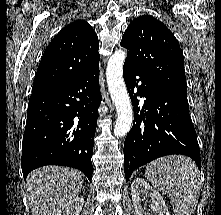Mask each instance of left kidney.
I'll return each instance as SVG.
<instances>
[{
    "mask_svg": "<svg viewBox=\"0 0 221 215\" xmlns=\"http://www.w3.org/2000/svg\"><path fill=\"white\" fill-rule=\"evenodd\" d=\"M132 201L137 215H151L143 207V198H151V210L158 215H170L168 208L159 192L142 178H135L131 184Z\"/></svg>",
    "mask_w": 221,
    "mask_h": 215,
    "instance_id": "left-kidney-1",
    "label": "left kidney"
}]
</instances>
